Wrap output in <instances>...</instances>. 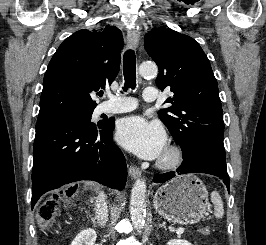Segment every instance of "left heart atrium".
Wrapping results in <instances>:
<instances>
[{"mask_svg":"<svg viewBox=\"0 0 266 245\" xmlns=\"http://www.w3.org/2000/svg\"><path fill=\"white\" fill-rule=\"evenodd\" d=\"M117 138L125 148L145 159L159 157L166 145L162 127L139 116L122 119L117 126Z\"/></svg>","mask_w":266,"mask_h":245,"instance_id":"left-heart-atrium-1","label":"left heart atrium"}]
</instances>
